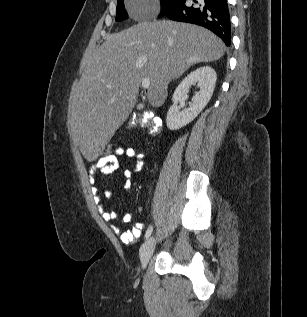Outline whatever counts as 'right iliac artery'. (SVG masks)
Returning <instances> with one entry per match:
<instances>
[{"instance_id":"right-iliac-artery-1","label":"right iliac artery","mask_w":307,"mask_h":317,"mask_svg":"<svg viewBox=\"0 0 307 317\" xmlns=\"http://www.w3.org/2000/svg\"><path fill=\"white\" fill-rule=\"evenodd\" d=\"M152 231H153V227L149 226L145 234V239H147L151 235Z\"/></svg>"}]
</instances>
